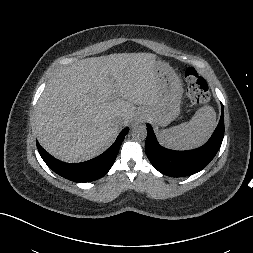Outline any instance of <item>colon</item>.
I'll return each instance as SVG.
<instances>
[{"label":"colon","mask_w":253,"mask_h":253,"mask_svg":"<svg viewBox=\"0 0 253 253\" xmlns=\"http://www.w3.org/2000/svg\"><path fill=\"white\" fill-rule=\"evenodd\" d=\"M187 94L193 105L206 104L210 99L207 82L200 76L194 67H188L185 71Z\"/></svg>","instance_id":"obj_1"}]
</instances>
